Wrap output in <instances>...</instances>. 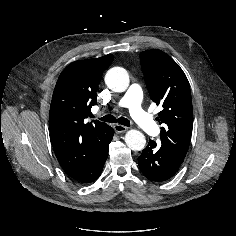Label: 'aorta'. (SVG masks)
Here are the masks:
<instances>
[{
    "instance_id": "762f6f07",
    "label": "aorta",
    "mask_w": 236,
    "mask_h": 236,
    "mask_svg": "<svg viewBox=\"0 0 236 236\" xmlns=\"http://www.w3.org/2000/svg\"><path fill=\"white\" fill-rule=\"evenodd\" d=\"M105 83L111 90L123 92L129 86V75L124 68L114 67L106 73ZM125 142L126 145L134 151L143 150L146 144L145 136L135 129L129 130L126 133Z\"/></svg>"
}]
</instances>
